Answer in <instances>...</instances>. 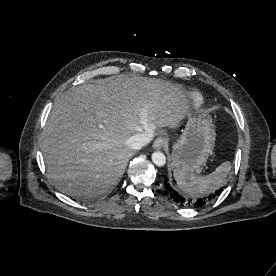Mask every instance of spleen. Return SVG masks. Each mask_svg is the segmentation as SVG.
<instances>
[{
    "label": "spleen",
    "instance_id": "3e777b00",
    "mask_svg": "<svg viewBox=\"0 0 276 276\" xmlns=\"http://www.w3.org/2000/svg\"><path fill=\"white\" fill-rule=\"evenodd\" d=\"M230 170L231 163L226 161L218 166L215 171L206 176H198L193 173H186L179 170H174L173 175L178 187L183 192L190 196L197 197L222 187Z\"/></svg>",
    "mask_w": 276,
    "mask_h": 276
}]
</instances>
